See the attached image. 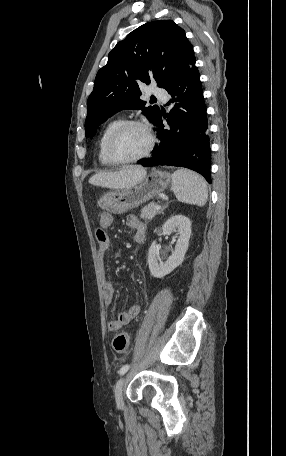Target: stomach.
Segmentation results:
<instances>
[{"instance_id":"stomach-1","label":"stomach","mask_w":286,"mask_h":456,"mask_svg":"<svg viewBox=\"0 0 286 456\" xmlns=\"http://www.w3.org/2000/svg\"><path fill=\"white\" fill-rule=\"evenodd\" d=\"M171 178L168 172L153 170L141 182L130 188L104 194L97 201V205L111 213L123 214L163 192Z\"/></svg>"}]
</instances>
